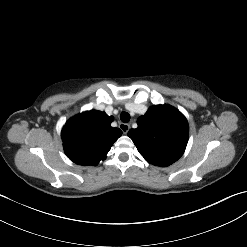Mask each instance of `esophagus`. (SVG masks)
<instances>
[{
  "instance_id": "1",
  "label": "esophagus",
  "mask_w": 247,
  "mask_h": 247,
  "mask_svg": "<svg viewBox=\"0 0 247 247\" xmlns=\"http://www.w3.org/2000/svg\"><path fill=\"white\" fill-rule=\"evenodd\" d=\"M119 128L122 130L123 134H127L130 129V125L126 123H120Z\"/></svg>"
}]
</instances>
